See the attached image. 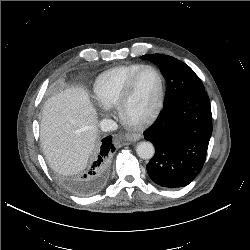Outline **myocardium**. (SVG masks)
Instances as JSON below:
<instances>
[{
	"label": "myocardium",
	"mask_w": 250,
	"mask_h": 250,
	"mask_svg": "<svg viewBox=\"0 0 250 250\" xmlns=\"http://www.w3.org/2000/svg\"><path fill=\"white\" fill-rule=\"evenodd\" d=\"M146 70L153 71L158 78L159 81V88L157 96L150 107V109L143 114L142 116L138 118H131L128 116L126 108L127 104L131 98L134 86L136 84V81L138 80L139 76ZM164 94H165V84L164 79L160 71L155 68L154 66L145 65L142 68H140L128 81L126 84L119 101L117 103V110L120 118L129 126L139 128L143 127L147 124H149L151 121L155 119V117L158 115L160 109L162 108L163 102H164Z\"/></svg>",
	"instance_id": "obj_1"
}]
</instances>
